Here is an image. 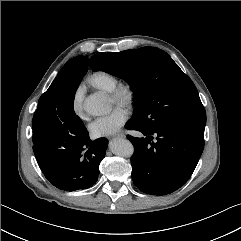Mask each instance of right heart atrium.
Masks as SVG:
<instances>
[{"label": "right heart atrium", "mask_w": 241, "mask_h": 241, "mask_svg": "<svg viewBox=\"0 0 241 241\" xmlns=\"http://www.w3.org/2000/svg\"><path fill=\"white\" fill-rule=\"evenodd\" d=\"M82 99H83V91L81 88H79L74 95L73 98V110L77 115H81L82 114Z\"/></svg>", "instance_id": "1"}]
</instances>
